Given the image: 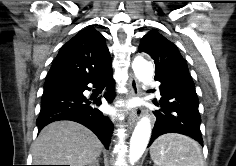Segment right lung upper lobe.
Wrapping results in <instances>:
<instances>
[{"label":"right lung upper lobe","instance_id":"cb5924a9","mask_svg":"<svg viewBox=\"0 0 236 166\" xmlns=\"http://www.w3.org/2000/svg\"><path fill=\"white\" fill-rule=\"evenodd\" d=\"M111 68L105 38L89 26L63 45L46 81L56 78H89Z\"/></svg>","mask_w":236,"mask_h":166}]
</instances>
